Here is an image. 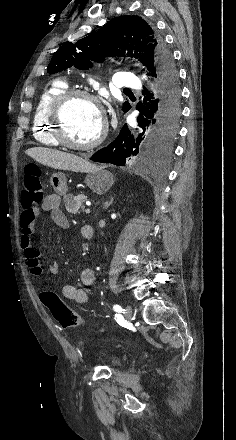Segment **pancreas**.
Listing matches in <instances>:
<instances>
[{"label": "pancreas", "instance_id": "obj_1", "mask_svg": "<svg viewBox=\"0 0 236 440\" xmlns=\"http://www.w3.org/2000/svg\"><path fill=\"white\" fill-rule=\"evenodd\" d=\"M86 200L87 196L84 194H80L77 196L68 194L64 197L66 210L72 214L79 213V209L84 210V202Z\"/></svg>", "mask_w": 236, "mask_h": 440}]
</instances>
